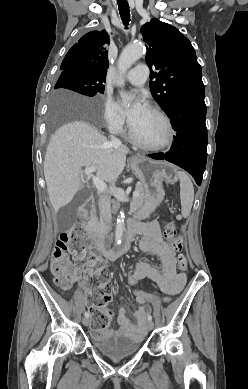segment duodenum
<instances>
[{"label":"duodenum","mask_w":248,"mask_h":389,"mask_svg":"<svg viewBox=\"0 0 248 389\" xmlns=\"http://www.w3.org/2000/svg\"><path fill=\"white\" fill-rule=\"evenodd\" d=\"M91 203L84 205L80 208V217L83 225H86L89 228V237L93 246L106 258L109 260H114L124 252H126L134 240L136 234L140 233L139 225L136 223H131L128 227L126 235L123 238V242L120 245H114L113 247H107L104 241V236L96 232L93 228V222L89 218L88 213ZM93 213V210H91Z\"/></svg>","instance_id":"410a0bca"}]
</instances>
